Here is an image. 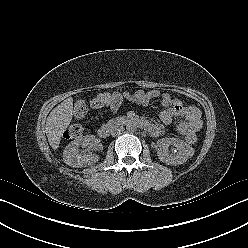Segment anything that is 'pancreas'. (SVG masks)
Instances as JSON below:
<instances>
[{"instance_id":"cf45deb5","label":"pancreas","mask_w":248,"mask_h":248,"mask_svg":"<svg viewBox=\"0 0 248 248\" xmlns=\"http://www.w3.org/2000/svg\"><path fill=\"white\" fill-rule=\"evenodd\" d=\"M116 121H119V119L117 118V119H112V120H110L108 123L109 124H112V123H115Z\"/></svg>"}]
</instances>
